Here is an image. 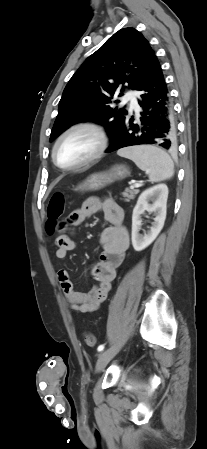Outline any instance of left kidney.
Instances as JSON below:
<instances>
[{
    "label": "left kidney",
    "instance_id": "1",
    "mask_svg": "<svg viewBox=\"0 0 207 449\" xmlns=\"http://www.w3.org/2000/svg\"><path fill=\"white\" fill-rule=\"evenodd\" d=\"M167 198L168 187L163 183L143 191L139 196L132 215V245L135 251L144 250L161 232L166 219ZM145 211L154 213L155 218L150 230L144 235H140L141 214Z\"/></svg>",
    "mask_w": 207,
    "mask_h": 449
}]
</instances>
